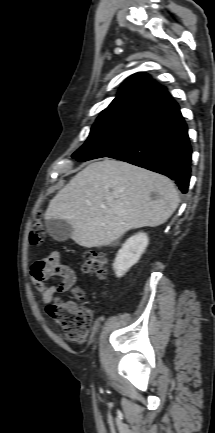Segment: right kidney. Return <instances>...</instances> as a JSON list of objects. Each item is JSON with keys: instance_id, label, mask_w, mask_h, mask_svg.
I'll list each match as a JSON object with an SVG mask.
<instances>
[{"instance_id": "right-kidney-1", "label": "right kidney", "mask_w": 215, "mask_h": 433, "mask_svg": "<svg viewBox=\"0 0 215 433\" xmlns=\"http://www.w3.org/2000/svg\"><path fill=\"white\" fill-rule=\"evenodd\" d=\"M149 239L145 233H137L130 237L118 251L113 263L117 277L123 276L134 264L138 262L148 245Z\"/></svg>"}]
</instances>
